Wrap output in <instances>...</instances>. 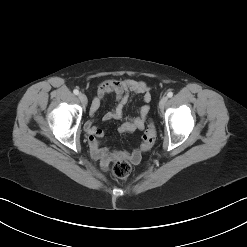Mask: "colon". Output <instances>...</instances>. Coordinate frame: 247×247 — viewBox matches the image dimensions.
I'll return each mask as SVG.
<instances>
[{
    "label": "colon",
    "instance_id": "colon-1",
    "mask_svg": "<svg viewBox=\"0 0 247 247\" xmlns=\"http://www.w3.org/2000/svg\"><path fill=\"white\" fill-rule=\"evenodd\" d=\"M156 141V128L155 125L150 122L144 132L143 142L141 145V151L149 150ZM131 171V164L127 160H118L112 167L113 174L121 179L126 178Z\"/></svg>",
    "mask_w": 247,
    "mask_h": 247
}]
</instances>
